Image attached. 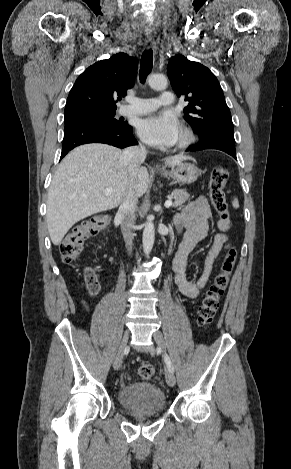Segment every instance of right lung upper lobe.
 Listing matches in <instances>:
<instances>
[{"label":"right lung upper lobe","mask_w":291,"mask_h":469,"mask_svg":"<svg viewBox=\"0 0 291 469\" xmlns=\"http://www.w3.org/2000/svg\"><path fill=\"white\" fill-rule=\"evenodd\" d=\"M137 65L136 58L117 53L88 67L75 81L64 114L116 109L117 96L126 95L134 84Z\"/></svg>","instance_id":"cb5924a9"}]
</instances>
